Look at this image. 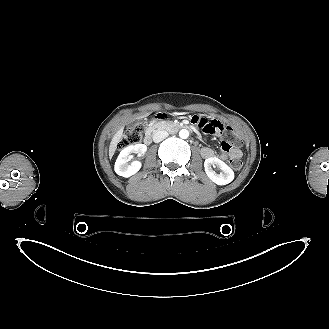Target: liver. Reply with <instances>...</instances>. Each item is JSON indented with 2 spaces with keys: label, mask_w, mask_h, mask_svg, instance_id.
Returning <instances> with one entry per match:
<instances>
[{
  "label": "liver",
  "mask_w": 329,
  "mask_h": 329,
  "mask_svg": "<svg viewBox=\"0 0 329 329\" xmlns=\"http://www.w3.org/2000/svg\"><path fill=\"white\" fill-rule=\"evenodd\" d=\"M151 112L149 113H146L142 116H139L138 119H142V118H145L147 116L150 115ZM123 136V127L120 128L113 136L112 140H111V143H110V146H109V157L112 158L115 151H116V148H117V144L120 142L121 138Z\"/></svg>",
  "instance_id": "obj_1"
}]
</instances>
